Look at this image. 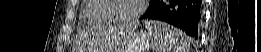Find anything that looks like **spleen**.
Here are the masks:
<instances>
[{
	"mask_svg": "<svg viewBox=\"0 0 261 52\" xmlns=\"http://www.w3.org/2000/svg\"><path fill=\"white\" fill-rule=\"evenodd\" d=\"M154 52H188L189 39L180 30L160 21H145Z\"/></svg>",
	"mask_w": 261,
	"mask_h": 52,
	"instance_id": "spleen-1",
	"label": "spleen"
}]
</instances>
